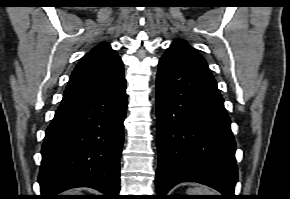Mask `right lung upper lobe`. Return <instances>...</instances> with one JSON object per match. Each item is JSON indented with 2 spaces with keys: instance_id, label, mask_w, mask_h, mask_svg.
<instances>
[{
  "instance_id": "obj_1",
  "label": "right lung upper lobe",
  "mask_w": 290,
  "mask_h": 199,
  "mask_svg": "<svg viewBox=\"0 0 290 199\" xmlns=\"http://www.w3.org/2000/svg\"><path fill=\"white\" fill-rule=\"evenodd\" d=\"M123 81L122 60L108 43H101L87 53L73 70L62 102L103 93Z\"/></svg>"
}]
</instances>
